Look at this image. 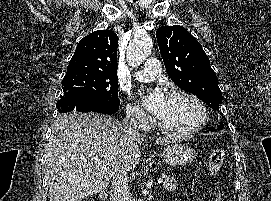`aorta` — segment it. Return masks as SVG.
I'll return each mask as SVG.
<instances>
[{"mask_svg": "<svg viewBox=\"0 0 271 201\" xmlns=\"http://www.w3.org/2000/svg\"><path fill=\"white\" fill-rule=\"evenodd\" d=\"M153 48V41L149 35L136 34L130 40L126 58L128 64L132 67L140 65L144 60L148 58ZM138 201H142L139 199Z\"/></svg>", "mask_w": 271, "mask_h": 201, "instance_id": "obj_1", "label": "aorta"}]
</instances>
